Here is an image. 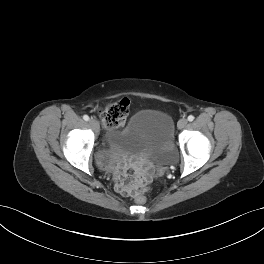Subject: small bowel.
Returning <instances> with one entry per match:
<instances>
[{
  "mask_svg": "<svg viewBox=\"0 0 264 264\" xmlns=\"http://www.w3.org/2000/svg\"><path fill=\"white\" fill-rule=\"evenodd\" d=\"M116 189L119 191V186H118V184L116 183Z\"/></svg>",
  "mask_w": 264,
  "mask_h": 264,
  "instance_id": "1",
  "label": "small bowel"
}]
</instances>
